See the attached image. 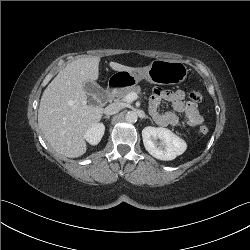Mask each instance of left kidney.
Instances as JSON below:
<instances>
[{
  "mask_svg": "<svg viewBox=\"0 0 250 250\" xmlns=\"http://www.w3.org/2000/svg\"><path fill=\"white\" fill-rule=\"evenodd\" d=\"M142 138L145 149L159 160H173L187 148L183 139L163 127H145Z\"/></svg>",
  "mask_w": 250,
  "mask_h": 250,
  "instance_id": "left-kidney-1",
  "label": "left kidney"
}]
</instances>
